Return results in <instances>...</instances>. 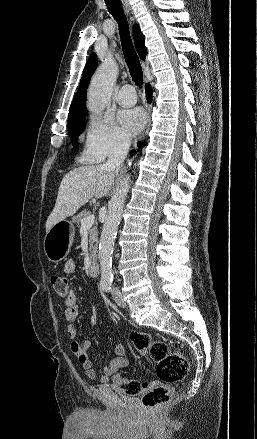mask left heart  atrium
<instances>
[{"label":"left heart atrium","instance_id":"39dd6f15","mask_svg":"<svg viewBox=\"0 0 257 439\" xmlns=\"http://www.w3.org/2000/svg\"><path fill=\"white\" fill-rule=\"evenodd\" d=\"M118 119L125 131L132 135L139 132L143 127L145 123V114L140 108L122 110L118 114Z\"/></svg>","mask_w":257,"mask_h":439}]
</instances>
